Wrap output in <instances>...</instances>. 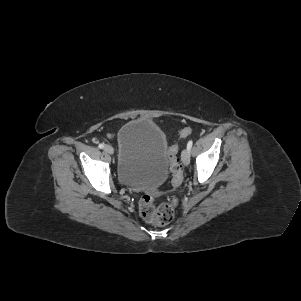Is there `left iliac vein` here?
I'll return each instance as SVG.
<instances>
[{"instance_id":"4c4485c4","label":"left iliac vein","mask_w":301,"mask_h":301,"mask_svg":"<svg viewBox=\"0 0 301 301\" xmlns=\"http://www.w3.org/2000/svg\"><path fill=\"white\" fill-rule=\"evenodd\" d=\"M181 159H182V162L185 166L189 165V163H190V153H189V150L187 148L182 151Z\"/></svg>"}]
</instances>
